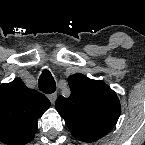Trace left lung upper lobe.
<instances>
[{"label": "left lung upper lobe", "mask_w": 145, "mask_h": 145, "mask_svg": "<svg viewBox=\"0 0 145 145\" xmlns=\"http://www.w3.org/2000/svg\"><path fill=\"white\" fill-rule=\"evenodd\" d=\"M71 95L59 96L56 109L69 130L110 131L120 115V102L116 93L103 81L83 74L68 78Z\"/></svg>", "instance_id": "5c2ea615"}]
</instances>
